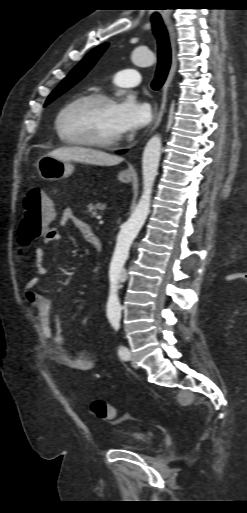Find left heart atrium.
Masks as SVG:
<instances>
[{
	"mask_svg": "<svg viewBox=\"0 0 247 513\" xmlns=\"http://www.w3.org/2000/svg\"><path fill=\"white\" fill-rule=\"evenodd\" d=\"M151 117L148 104L134 96H126L115 105V120L121 134L131 133L145 126Z\"/></svg>",
	"mask_w": 247,
	"mask_h": 513,
	"instance_id": "1",
	"label": "left heart atrium"
}]
</instances>
